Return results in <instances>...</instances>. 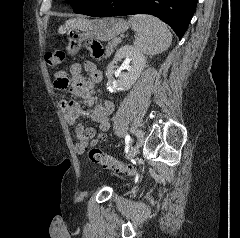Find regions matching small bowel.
<instances>
[{
	"label": "small bowel",
	"instance_id": "small-bowel-1",
	"mask_svg": "<svg viewBox=\"0 0 240 238\" xmlns=\"http://www.w3.org/2000/svg\"><path fill=\"white\" fill-rule=\"evenodd\" d=\"M86 71L88 78L83 76ZM102 73L92 62L86 61L83 64L74 63L70 68V73L58 71L54 74L53 88L61 91L70 88L74 97L83 99L90 110H85L74 98L61 99L59 104L64 112L67 123L74 130L77 138L75 151L82 154L89 144L97 145L106 139V131L110 127V119L114 111V105L109 100L96 102L91 91L94 84L100 83ZM81 117L90 118L98 125V130L94 125L78 123Z\"/></svg>",
	"mask_w": 240,
	"mask_h": 238
}]
</instances>
